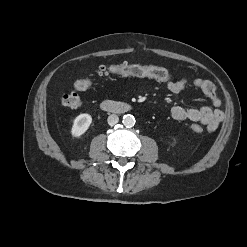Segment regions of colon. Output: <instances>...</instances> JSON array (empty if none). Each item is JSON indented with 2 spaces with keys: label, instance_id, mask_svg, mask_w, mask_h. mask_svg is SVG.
Instances as JSON below:
<instances>
[{
  "label": "colon",
  "instance_id": "obj_1",
  "mask_svg": "<svg viewBox=\"0 0 247 247\" xmlns=\"http://www.w3.org/2000/svg\"><path fill=\"white\" fill-rule=\"evenodd\" d=\"M98 73L100 75H121L125 77L152 78L160 82H168L172 80L169 71L163 67L151 65H136L129 63H121L115 65L101 66ZM93 85L91 78H81L75 81L74 88L62 96V104L65 107L77 108L81 104V98L77 91H85ZM192 133H201L203 128L199 124L189 125Z\"/></svg>",
  "mask_w": 247,
  "mask_h": 247
}]
</instances>
